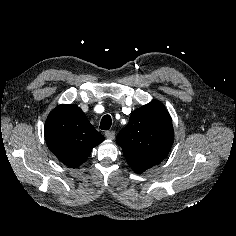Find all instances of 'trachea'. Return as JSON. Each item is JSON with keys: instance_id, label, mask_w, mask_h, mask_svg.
<instances>
[{"instance_id": "trachea-1", "label": "trachea", "mask_w": 236, "mask_h": 236, "mask_svg": "<svg viewBox=\"0 0 236 236\" xmlns=\"http://www.w3.org/2000/svg\"><path fill=\"white\" fill-rule=\"evenodd\" d=\"M112 124V119L110 115H104L101 119L100 129L101 130H109Z\"/></svg>"}]
</instances>
